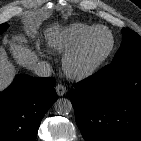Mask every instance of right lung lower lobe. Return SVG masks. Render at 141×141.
<instances>
[{
    "mask_svg": "<svg viewBox=\"0 0 141 141\" xmlns=\"http://www.w3.org/2000/svg\"><path fill=\"white\" fill-rule=\"evenodd\" d=\"M55 79L17 75L0 93V141H35L41 120L57 99Z\"/></svg>",
    "mask_w": 141,
    "mask_h": 141,
    "instance_id": "obj_1",
    "label": "right lung lower lobe"
}]
</instances>
